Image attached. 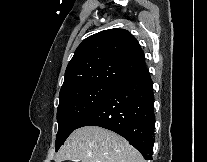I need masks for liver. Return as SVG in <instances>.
<instances>
[{"instance_id": "1", "label": "liver", "mask_w": 207, "mask_h": 162, "mask_svg": "<svg viewBox=\"0 0 207 162\" xmlns=\"http://www.w3.org/2000/svg\"><path fill=\"white\" fill-rule=\"evenodd\" d=\"M65 160L82 162H145L140 152L129 142L98 126L76 129L60 148L56 162Z\"/></svg>"}]
</instances>
